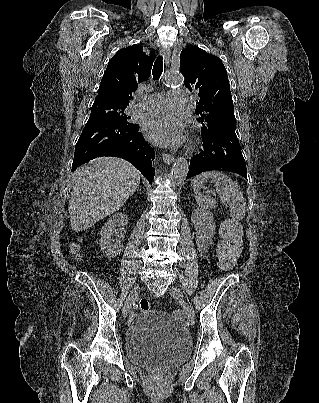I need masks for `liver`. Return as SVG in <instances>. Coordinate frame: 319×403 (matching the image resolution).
I'll use <instances>...</instances> for the list:
<instances>
[{
  "label": "liver",
  "instance_id": "6515ba94",
  "mask_svg": "<svg viewBox=\"0 0 319 403\" xmlns=\"http://www.w3.org/2000/svg\"><path fill=\"white\" fill-rule=\"evenodd\" d=\"M140 183L129 162L112 157L93 160L72 174L70 226L80 232L120 209Z\"/></svg>",
  "mask_w": 319,
  "mask_h": 403
}]
</instances>
